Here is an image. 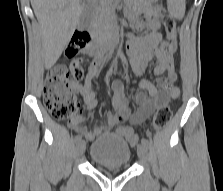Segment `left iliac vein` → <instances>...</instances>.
Returning a JSON list of instances; mask_svg holds the SVG:
<instances>
[{
    "instance_id": "left-iliac-vein-1",
    "label": "left iliac vein",
    "mask_w": 223,
    "mask_h": 191,
    "mask_svg": "<svg viewBox=\"0 0 223 191\" xmlns=\"http://www.w3.org/2000/svg\"><path fill=\"white\" fill-rule=\"evenodd\" d=\"M138 157L141 161L146 162L148 156V149L145 145L141 144L137 149Z\"/></svg>"
}]
</instances>
